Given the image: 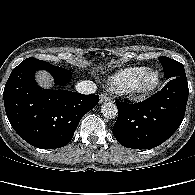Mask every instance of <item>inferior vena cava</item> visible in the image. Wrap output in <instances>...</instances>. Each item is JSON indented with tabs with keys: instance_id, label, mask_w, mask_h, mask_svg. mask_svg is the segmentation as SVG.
Segmentation results:
<instances>
[{
	"instance_id": "602c4592",
	"label": "inferior vena cava",
	"mask_w": 195,
	"mask_h": 195,
	"mask_svg": "<svg viewBox=\"0 0 195 195\" xmlns=\"http://www.w3.org/2000/svg\"><path fill=\"white\" fill-rule=\"evenodd\" d=\"M76 90L81 94H93L97 90V86L93 81L85 80L77 83Z\"/></svg>"
}]
</instances>
